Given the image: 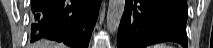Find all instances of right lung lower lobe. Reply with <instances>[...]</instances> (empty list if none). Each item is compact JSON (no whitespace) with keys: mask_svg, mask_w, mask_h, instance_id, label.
Returning <instances> with one entry per match:
<instances>
[{"mask_svg":"<svg viewBox=\"0 0 213 48\" xmlns=\"http://www.w3.org/2000/svg\"><path fill=\"white\" fill-rule=\"evenodd\" d=\"M101 0H31L33 41L48 38L88 48Z\"/></svg>","mask_w":213,"mask_h":48,"instance_id":"right-lung-lower-lobe-1","label":"right lung lower lobe"}]
</instances>
